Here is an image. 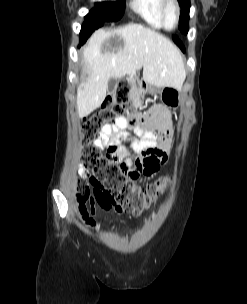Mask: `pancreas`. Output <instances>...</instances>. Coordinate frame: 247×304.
Wrapping results in <instances>:
<instances>
[{"mask_svg":"<svg viewBox=\"0 0 247 304\" xmlns=\"http://www.w3.org/2000/svg\"><path fill=\"white\" fill-rule=\"evenodd\" d=\"M150 92H153V90L150 89ZM144 93L145 91L142 88L140 90L130 89L128 97L132 101L133 106L140 107L142 105V101L140 100V97H142Z\"/></svg>","mask_w":247,"mask_h":304,"instance_id":"cf45deb5","label":"pancreas"}]
</instances>
